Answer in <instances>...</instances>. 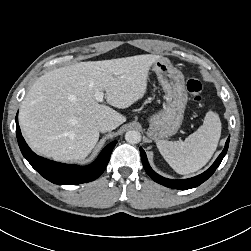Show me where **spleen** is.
I'll use <instances>...</instances> for the list:
<instances>
[{
  "instance_id": "obj_1",
  "label": "spleen",
  "mask_w": 251,
  "mask_h": 251,
  "mask_svg": "<svg viewBox=\"0 0 251 251\" xmlns=\"http://www.w3.org/2000/svg\"><path fill=\"white\" fill-rule=\"evenodd\" d=\"M221 121L217 113L207 112L203 125L184 141L158 140L157 148L166 162L179 174L198 171L213 156L220 136Z\"/></svg>"
}]
</instances>
